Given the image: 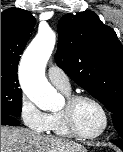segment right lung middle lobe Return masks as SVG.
<instances>
[{"mask_svg": "<svg viewBox=\"0 0 123 152\" xmlns=\"http://www.w3.org/2000/svg\"><path fill=\"white\" fill-rule=\"evenodd\" d=\"M21 109L22 90L17 73L1 71V115L20 116Z\"/></svg>", "mask_w": 123, "mask_h": 152, "instance_id": "1", "label": "right lung middle lobe"}]
</instances>
